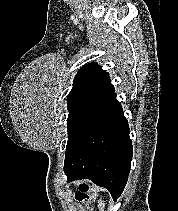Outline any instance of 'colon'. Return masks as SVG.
I'll list each match as a JSON object with an SVG mask.
<instances>
[{"label":"colon","instance_id":"1","mask_svg":"<svg viewBox=\"0 0 178 211\" xmlns=\"http://www.w3.org/2000/svg\"><path fill=\"white\" fill-rule=\"evenodd\" d=\"M94 197V193L91 191L90 185L88 183L79 185L75 193V200L79 203L92 202Z\"/></svg>","mask_w":178,"mask_h":211}]
</instances>
